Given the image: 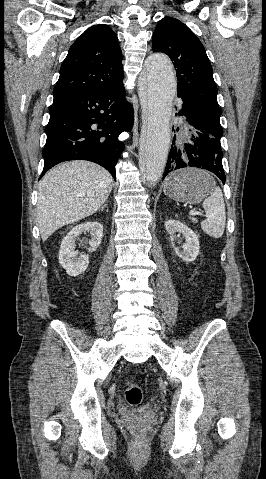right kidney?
I'll list each match as a JSON object with an SVG mask.
<instances>
[{"mask_svg": "<svg viewBox=\"0 0 266 479\" xmlns=\"http://www.w3.org/2000/svg\"><path fill=\"white\" fill-rule=\"evenodd\" d=\"M90 232V251L95 250L101 243L103 236V225L99 222H86L73 227L62 240L59 250V263L70 276L82 274L89 265V255L77 257L75 242L82 232Z\"/></svg>", "mask_w": 266, "mask_h": 479, "instance_id": "right-kidney-1", "label": "right kidney"}]
</instances>
